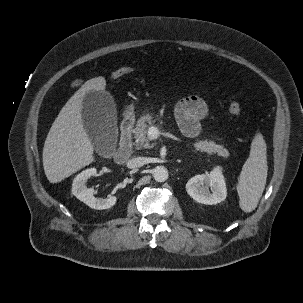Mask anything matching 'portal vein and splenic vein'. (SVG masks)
<instances>
[{"label":"portal vein and splenic vein","instance_id":"portal-vein-and-splenic-vein-1","mask_svg":"<svg viewBox=\"0 0 303 303\" xmlns=\"http://www.w3.org/2000/svg\"><path fill=\"white\" fill-rule=\"evenodd\" d=\"M147 134L150 139H156L159 136V130L157 127L151 126L149 127Z\"/></svg>","mask_w":303,"mask_h":303}]
</instances>
